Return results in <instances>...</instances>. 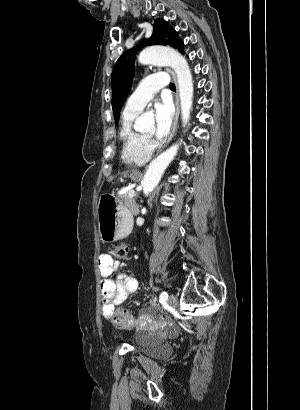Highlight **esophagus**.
Returning a JSON list of instances; mask_svg holds the SVG:
<instances>
[{
	"label": "esophagus",
	"instance_id": "obj_1",
	"mask_svg": "<svg viewBox=\"0 0 300 410\" xmlns=\"http://www.w3.org/2000/svg\"><path fill=\"white\" fill-rule=\"evenodd\" d=\"M169 72L171 73V75H172V77H173V80H174V82H175V84H176V88H177L176 95H175V107H176V110H175V115H174V120H173V124H172V128H171L170 135H169V137H168V139H167V141H166V143H165V145L163 146L162 149H164V148L168 145V143L172 140V138L174 137V134H175V131H176V128H177V124H178L179 113H180L179 92H178V84H177L176 75H175V73H174L173 71H171V70H169Z\"/></svg>",
	"mask_w": 300,
	"mask_h": 410
}]
</instances>
